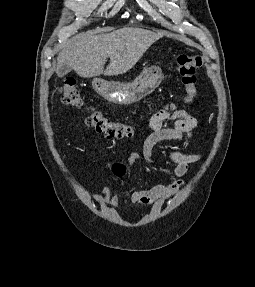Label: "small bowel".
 I'll return each instance as SVG.
<instances>
[{
	"mask_svg": "<svg viewBox=\"0 0 255 287\" xmlns=\"http://www.w3.org/2000/svg\"><path fill=\"white\" fill-rule=\"evenodd\" d=\"M166 120L174 121V125L172 127L165 126ZM149 125L152 132L144 141L142 155L148 163L152 164L154 162V148L158 143L193 138L197 120L184 110L161 109L153 114ZM131 158L133 160L138 158V154L132 153ZM169 158L174 163L170 173L177 179L168 185L158 184L149 189L134 191L131 195L133 203L156 208L167 202L183 187L182 177L187 173L192 163L198 162L202 158V154H184L179 151H171ZM108 168L119 180L125 178L127 169L124 164L110 162ZM91 198L100 206H109L113 209L119 207V196L116 188L110 190L104 186L101 194H92Z\"/></svg>",
	"mask_w": 255,
	"mask_h": 287,
	"instance_id": "small-bowel-1",
	"label": "small bowel"
}]
</instances>
